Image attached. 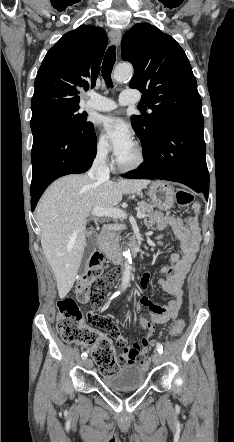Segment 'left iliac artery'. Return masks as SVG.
Here are the masks:
<instances>
[{"instance_id": "left-iliac-artery-1", "label": "left iliac artery", "mask_w": 234, "mask_h": 442, "mask_svg": "<svg viewBox=\"0 0 234 442\" xmlns=\"http://www.w3.org/2000/svg\"><path fill=\"white\" fill-rule=\"evenodd\" d=\"M156 349H157V351L161 354L162 351H163V346H162V344L158 342V343L156 344Z\"/></svg>"}]
</instances>
